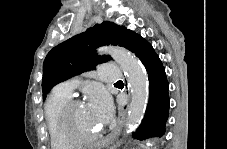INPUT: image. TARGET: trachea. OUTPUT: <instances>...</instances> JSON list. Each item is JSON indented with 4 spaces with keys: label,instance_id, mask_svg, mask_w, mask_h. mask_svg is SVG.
<instances>
[{
    "label": "trachea",
    "instance_id": "1",
    "mask_svg": "<svg viewBox=\"0 0 227 149\" xmlns=\"http://www.w3.org/2000/svg\"><path fill=\"white\" fill-rule=\"evenodd\" d=\"M116 83H122V81L120 80V81H117Z\"/></svg>",
    "mask_w": 227,
    "mask_h": 149
}]
</instances>
